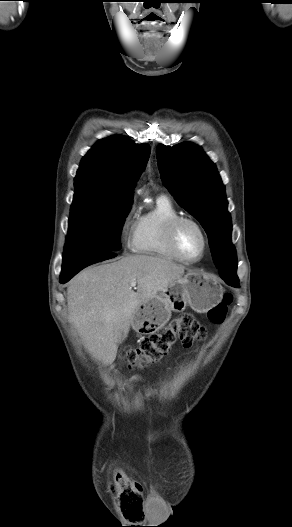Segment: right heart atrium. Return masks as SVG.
Listing matches in <instances>:
<instances>
[{"label": "right heart atrium", "instance_id": "right-heart-atrium-1", "mask_svg": "<svg viewBox=\"0 0 292 527\" xmlns=\"http://www.w3.org/2000/svg\"><path fill=\"white\" fill-rule=\"evenodd\" d=\"M134 215H135L134 207H130L125 213L122 219V222H121L120 235H121L122 241L126 245L131 244V230L133 226Z\"/></svg>", "mask_w": 292, "mask_h": 527}]
</instances>
